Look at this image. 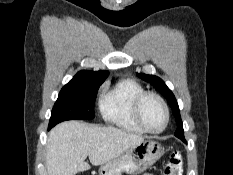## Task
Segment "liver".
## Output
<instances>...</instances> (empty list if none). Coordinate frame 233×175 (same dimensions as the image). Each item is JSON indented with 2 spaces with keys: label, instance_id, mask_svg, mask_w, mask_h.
<instances>
[{
  "label": "liver",
  "instance_id": "6515ba94",
  "mask_svg": "<svg viewBox=\"0 0 233 175\" xmlns=\"http://www.w3.org/2000/svg\"><path fill=\"white\" fill-rule=\"evenodd\" d=\"M144 137L115 127H98L82 121H66L48 134V175H75L120 157Z\"/></svg>",
  "mask_w": 233,
  "mask_h": 175
}]
</instances>
